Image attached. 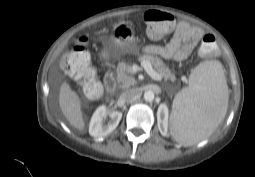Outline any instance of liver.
Segmentation results:
<instances>
[{"label":"liver","instance_id":"obj_1","mask_svg":"<svg viewBox=\"0 0 255 177\" xmlns=\"http://www.w3.org/2000/svg\"><path fill=\"white\" fill-rule=\"evenodd\" d=\"M59 106L63 115L73 127L78 130L84 129L85 123L81 112L79 96L71 90L66 82H63L60 86Z\"/></svg>","mask_w":255,"mask_h":177}]
</instances>
